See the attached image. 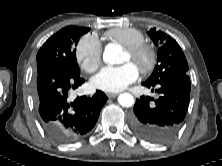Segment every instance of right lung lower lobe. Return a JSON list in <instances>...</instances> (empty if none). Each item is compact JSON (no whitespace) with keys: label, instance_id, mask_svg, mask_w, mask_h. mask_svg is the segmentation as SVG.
Wrapping results in <instances>:
<instances>
[{"label":"right lung lower lobe","instance_id":"98d812e1","mask_svg":"<svg viewBox=\"0 0 222 166\" xmlns=\"http://www.w3.org/2000/svg\"><path fill=\"white\" fill-rule=\"evenodd\" d=\"M85 82L80 74L51 68L37 74L34 100L44 131L58 143L74 142L96 124L107 96L96 91L92 97L69 99V92Z\"/></svg>","mask_w":222,"mask_h":166}]
</instances>
